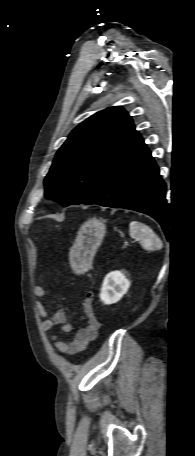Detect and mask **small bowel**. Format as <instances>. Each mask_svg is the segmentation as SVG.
<instances>
[{
  "label": "small bowel",
  "instance_id": "c3829d8e",
  "mask_svg": "<svg viewBox=\"0 0 195 456\" xmlns=\"http://www.w3.org/2000/svg\"><path fill=\"white\" fill-rule=\"evenodd\" d=\"M33 292L37 297L45 299L46 291L42 286H34ZM81 303L84 311L83 319L86 322V326L79 329L71 339L62 338L58 334H53L52 336L54 347L62 354L74 355L84 351L98 335L100 324L94 314L92 294L87 292ZM36 310L39 315L44 318L42 326L45 332H52L56 326H59L63 333L71 331V324L68 322L63 310H57L49 317L44 302H37Z\"/></svg>",
  "mask_w": 195,
  "mask_h": 456
}]
</instances>
